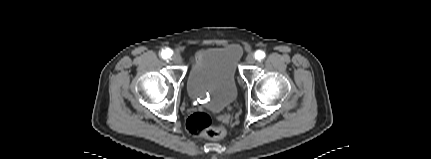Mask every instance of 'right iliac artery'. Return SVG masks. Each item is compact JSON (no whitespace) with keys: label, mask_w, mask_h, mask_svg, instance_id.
<instances>
[{"label":"right iliac artery","mask_w":431,"mask_h":159,"mask_svg":"<svg viewBox=\"0 0 431 159\" xmlns=\"http://www.w3.org/2000/svg\"><path fill=\"white\" fill-rule=\"evenodd\" d=\"M172 54H173V51L169 48H166V49L162 50V52H161V56L163 59L170 58L172 56Z\"/></svg>","instance_id":"82829eb1"}]
</instances>
